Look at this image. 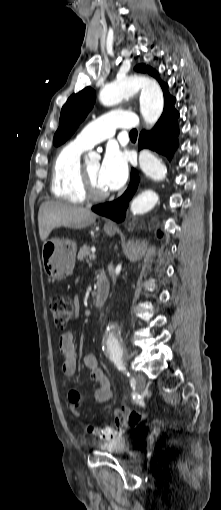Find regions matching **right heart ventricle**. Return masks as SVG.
<instances>
[{"instance_id": "e07e8e85", "label": "right heart ventricle", "mask_w": 221, "mask_h": 510, "mask_svg": "<svg viewBox=\"0 0 221 510\" xmlns=\"http://www.w3.org/2000/svg\"><path fill=\"white\" fill-rule=\"evenodd\" d=\"M85 150L74 140L59 151L52 167L53 196L74 204L85 202L81 187V155Z\"/></svg>"}]
</instances>
